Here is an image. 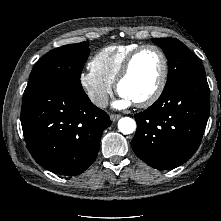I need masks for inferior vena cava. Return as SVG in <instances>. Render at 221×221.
Segmentation results:
<instances>
[{
	"label": "inferior vena cava",
	"mask_w": 221,
	"mask_h": 221,
	"mask_svg": "<svg viewBox=\"0 0 221 221\" xmlns=\"http://www.w3.org/2000/svg\"><path fill=\"white\" fill-rule=\"evenodd\" d=\"M90 100L98 107H105L108 103V96L106 93H96L90 96Z\"/></svg>",
	"instance_id": "602c4592"
}]
</instances>
